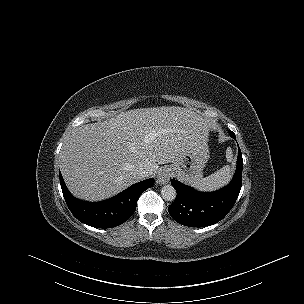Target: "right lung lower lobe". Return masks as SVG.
<instances>
[{
	"label": "right lung lower lobe",
	"mask_w": 304,
	"mask_h": 304,
	"mask_svg": "<svg viewBox=\"0 0 304 304\" xmlns=\"http://www.w3.org/2000/svg\"><path fill=\"white\" fill-rule=\"evenodd\" d=\"M60 184L68 208L80 222L96 228H111L133 215L138 198L154 185V179L133 184L118 195L100 202H86L73 197L61 175Z\"/></svg>",
	"instance_id": "1"
}]
</instances>
